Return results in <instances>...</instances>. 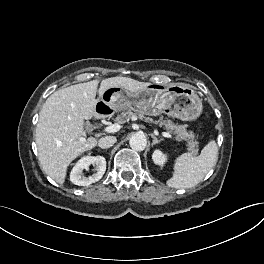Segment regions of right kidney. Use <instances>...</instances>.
<instances>
[{
	"label": "right kidney",
	"mask_w": 264,
	"mask_h": 264,
	"mask_svg": "<svg viewBox=\"0 0 264 264\" xmlns=\"http://www.w3.org/2000/svg\"><path fill=\"white\" fill-rule=\"evenodd\" d=\"M90 165L95 166L96 173L91 176H84L83 170L88 169ZM106 171V160L103 156H85L81 158L73 167L70 180L78 186H88L99 181Z\"/></svg>",
	"instance_id": "obj_1"
}]
</instances>
